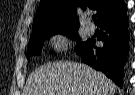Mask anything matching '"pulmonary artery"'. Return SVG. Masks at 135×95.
Here are the masks:
<instances>
[{
  "label": "pulmonary artery",
  "mask_w": 135,
  "mask_h": 95,
  "mask_svg": "<svg viewBox=\"0 0 135 95\" xmlns=\"http://www.w3.org/2000/svg\"><path fill=\"white\" fill-rule=\"evenodd\" d=\"M88 34H93L95 32V27L91 23L88 24L87 29H86Z\"/></svg>",
  "instance_id": "1"
}]
</instances>
